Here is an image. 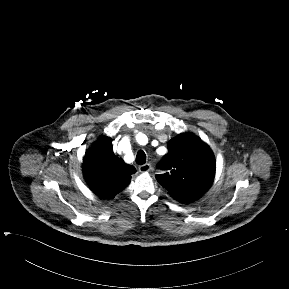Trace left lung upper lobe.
<instances>
[{"instance_id": "obj_1", "label": "left lung upper lobe", "mask_w": 289, "mask_h": 289, "mask_svg": "<svg viewBox=\"0 0 289 289\" xmlns=\"http://www.w3.org/2000/svg\"><path fill=\"white\" fill-rule=\"evenodd\" d=\"M168 153L157 164L165 173L157 181L180 203L200 198L211 186L215 176V158L200 138L182 133L168 143Z\"/></svg>"}]
</instances>
